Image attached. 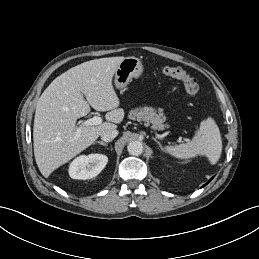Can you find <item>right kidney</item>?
I'll use <instances>...</instances> for the list:
<instances>
[{"instance_id": "ca27d5eb", "label": "right kidney", "mask_w": 259, "mask_h": 259, "mask_svg": "<svg viewBox=\"0 0 259 259\" xmlns=\"http://www.w3.org/2000/svg\"><path fill=\"white\" fill-rule=\"evenodd\" d=\"M107 162L108 158L103 154L81 155L71 162L69 175L73 179H91L104 169Z\"/></svg>"}]
</instances>
